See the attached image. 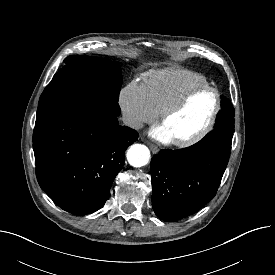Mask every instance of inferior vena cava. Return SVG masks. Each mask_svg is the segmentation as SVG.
Segmentation results:
<instances>
[{
  "label": "inferior vena cava",
  "instance_id": "602c4592",
  "mask_svg": "<svg viewBox=\"0 0 275 275\" xmlns=\"http://www.w3.org/2000/svg\"><path fill=\"white\" fill-rule=\"evenodd\" d=\"M122 121L126 126L131 127L133 129H140L143 126L141 120L138 117L133 116L131 114H123Z\"/></svg>",
  "mask_w": 275,
  "mask_h": 275
}]
</instances>
